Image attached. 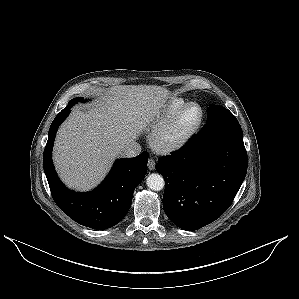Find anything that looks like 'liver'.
Returning <instances> with one entry per match:
<instances>
[{
    "label": "liver",
    "instance_id": "obj_1",
    "mask_svg": "<svg viewBox=\"0 0 299 299\" xmlns=\"http://www.w3.org/2000/svg\"><path fill=\"white\" fill-rule=\"evenodd\" d=\"M106 102L88 111L75 109L60 126L53 159L62 181L88 191L105 177L124 145L132 142L160 114L169 91L156 85L111 88Z\"/></svg>",
    "mask_w": 299,
    "mask_h": 299
}]
</instances>
